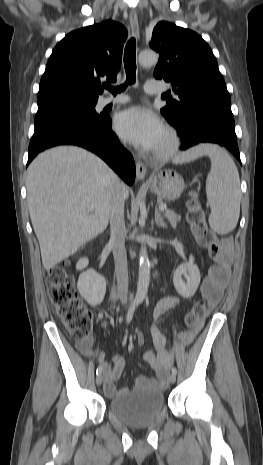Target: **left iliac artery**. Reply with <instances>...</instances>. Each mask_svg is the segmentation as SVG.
Listing matches in <instances>:
<instances>
[{
    "mask_svg": "<svg viewBox=\"0 0 263 465\" xmlns=\"http://www.w3.org/2000/svg\"><path fill=\"white\" fill-rule=\"evenodd\" d=\"M172 373L175 375L177 374V369L175 367L172 368Z\"/></svg>",
    "mask_w": 263,
    "mask_h": 465,
    "instance_id": "44dca946",
    "label": "left iliac artery"
}]
</instances>
